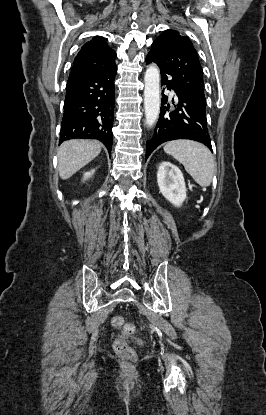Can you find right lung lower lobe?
Returning <instances> with one entry per match:
<instances>
[{
	"label": "right lung lower lobe",
	"instance_id": "1",
	"mask_svg": "<svg viewBox=\"0 0 266 415\" xmlns=\"http://www.w3.org/2000/svg\"><path fill=\"white\" fill-rule=\"evenodd\" d=\"M116 72L114 65L95 75L68 80L59 143L73 138L97 139L111 153Z\"/></svg>",
	"mask_w": 266,
	"mask_h": 415
}]
</instances>
